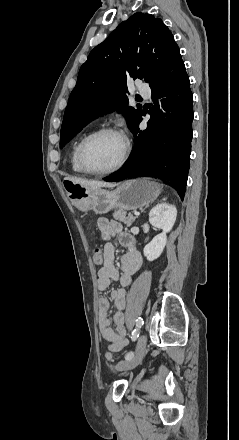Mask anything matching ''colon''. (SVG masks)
Segmentation results:
<instances>
[{"label":"colon","instance_id":"5ec220e1","mask_svg":"<svg viewBox=\"0 0 239 440\" xmlns=\"http://www.w3.org/2000/svg\"><path fill=\"white\" fill-rule=\"evenodd\" d=\"M93 260L96 265H100L103 262V256L100 249L96 248L93 252ZM105 360L108 363H112L114 361V356L111 352H107L105 354Z\"/></svg>","mask_w":239,"mask_h":440}]
</instances>
